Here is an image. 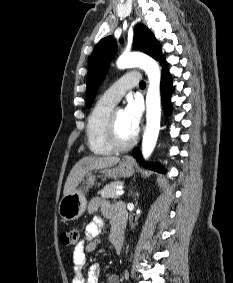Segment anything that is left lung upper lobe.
<instances>
[{
	"mask_svg": "<svg viewBox=\"0 0 233 283\" xmlns=\"http://www.w3.org/2000/svg\"><path fill=\"white\" fill-rule=\"evenodd\" d=\"M135 47L140 51L158 60L162 56L161 46L154 34L144 25L135 28ZM117 51V42L112 36L103 38L94 48L87 75V107L90 108L95 98L97 89L102 82Z\"/></svg>",
	"mask_w": 233,
	"mask_h": 283,
	"instance_id": "obj_1",
	"label": "left lung upper lobe"
}]
</instances>
